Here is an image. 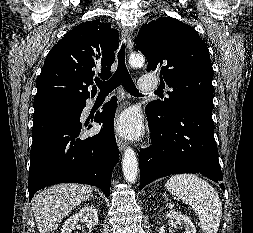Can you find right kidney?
Listing matches in <instances>:
<instances>
[{
	"instance_id": "obj_1",
	"label": "right kidney",
	"mask_w": 253,
	"mask_h": 233,
	"mask_svg": "<svg viewBox=\"0 0 253 233\" xmlns=\"http://www.w3.org/2000/svg\"><path fill=\"white\" fill-rule=\"evenodd\" d=\"M79 218L84 219L90 226L98 224V214L96 208L92 205L86 206L66 220L61 233H72V231L77 227Z\"/></svg>"
}]
</instances>
